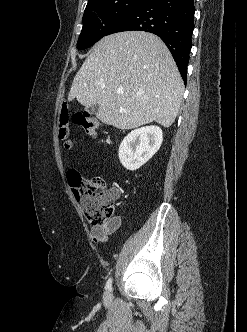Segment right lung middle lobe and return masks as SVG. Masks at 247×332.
I'll return each mask as SVG.
<instances>
[{"label":"right lung middle lobe","mask_w":247,"mask_h":332,"mask_svg":"<svg viewBox=\"0 0 247 332\" xmlns=\"http://www.w3.org/2000/svg\"><path fill=\"white\" fill-rule=\"evenodd\" d=\"M147 0H99L86 7L77 47L86 49L104 37L111 26Z\"/></svg>","instance_id":"dd1d6c3e"}]
</instances>
